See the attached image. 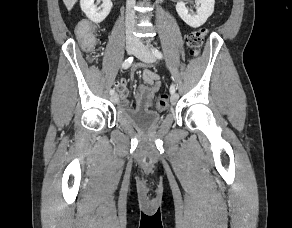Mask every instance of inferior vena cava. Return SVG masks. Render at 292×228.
I'll return each mask as SVG.
<instances>
[{"mask_svg": "<svg viewBox=\"0 0 292 228\" xmlns=\"http://www.w3.org/2000/svg\"><path fill=\"white\" fill-rule=\"evenodd\" d=\"M135 0L126 1V39L129 41L138 42L137 37L134 36L135 30Z\"/></svg>", "mask_w": 292, "mask_h": 228, "instance_id": "obj_1", "label": "inferior vena cava"}]
</instances>
